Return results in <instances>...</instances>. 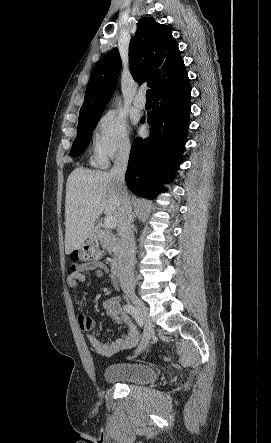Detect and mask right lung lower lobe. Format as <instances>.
Instances as JSON below:
<instances>
[{"instance_id":"1","label":"right lung lower lobe","mask_w":271,"mask_h":443,"mask_svg":"<svg viewBox=\"0 0 271 443\" xmlns=\"http://www.w3.org/2000/svg\"><path fill=\"white\" fill-rule=\"evenodd\" d=\"M190 98L188 78L153 95L154 107L146 118L150 135L134 140L126 172L127 186L135 194L153 199L164 191L161 184L172 179L184 151Z\"/></svg>"}]
</instances>
